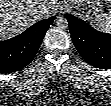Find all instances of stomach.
Listing matches in <instances>:
<instances>
[{"label": "stomach", "instance_id": "0dacf381", "mask_svg": "<svg viewBox=\"0 0 111 106\" xmlns=\"http://www.w3.org/2000/svg\"><path fill=\"white\" fill-rule=\"evenodd\" d=\"M74 4H75V7H76V8H80V6H81L80 2H75ZM98 5H101V4L98 3Z\"/></svg>", "mask_w": 111, "mask_h": 106}]
</instances>
